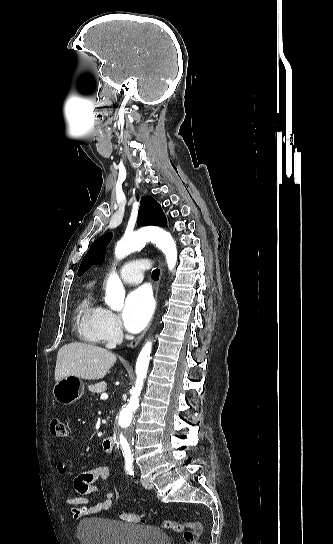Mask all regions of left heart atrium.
<instances>
[{
    "mask_svg": "<svg viewBox=\"0 0 333 544\" xmlns=\"http://www.w3.org/2000/svg\"><path fill=\"white\" fill-rule=\"evenodd\" d=\"M154 303L151 292L140 287L130 292L122 311V321L131 333H137L148 323L153 312Z\"/></svg>",
    "mask_w": 333,
    "mask_h": 544,
    "instance_id": "1",
    "label": "left heart atrium"
}]
</instances>
